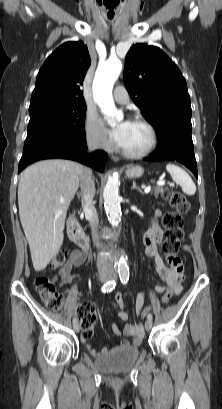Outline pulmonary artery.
<instances>
[{
    "mask_svg": "<svg viewBox=\"0 0 222 409\" xmlns=\"http://www.w3.org/2000/svg\"><path fill=\"white\" fill-rule=\"evenodd\" d=\"M114 99L117 103L125 105L129 102V94L124 86L118 85L113 92Z\"/></svg>",
    "mask_w": 222,
    "mask_h": 409,
    "instance_id": "pulmonary-artery-1",
    "label": "pulmonary artery"
}]
</instances>
